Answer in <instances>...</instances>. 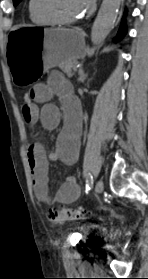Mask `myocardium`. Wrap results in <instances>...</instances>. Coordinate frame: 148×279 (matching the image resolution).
Wrapping results in <instances>:
<instances>
[{
  "mask_svg": "<svg viewBox=\"0 0 148 279\" xmlns=\"http://www.w3.org/2000/svg\"><path fill=\"white\" fill-rule=\"evenodd\" d=\"M34 9L40 16L44 17L45 19L55 24L70 25V24L77 23L82 19L81 17H74V18L60 17L54 11L44 8L42 5V0H34Z\"/></svg>",
  "mask_w": 148,
  "mask_h": 279,
  "instance_id": "myocardium-1",
  "label": "myocardium"
}]
</instances>
